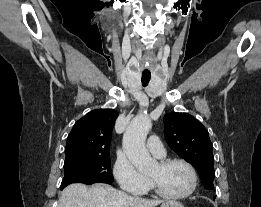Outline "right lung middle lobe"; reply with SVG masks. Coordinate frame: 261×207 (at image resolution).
<instances>
[{
    "instance_id": "1",
    "label": "right lung middle lobe",
    "mask_w": 261,
    "mask_h": 207,
    "mask_svg": "<svg viewBox=\"0 0 261 207\" xmlns=\"http://www.w3.org/2000/svg\"><path fill=\"white\" fill-rule=\"evenodd\" d=\"M64 171L65 176L61 183V189L71 183H112L114 180L110 167V156L66 161Z\"/></svg>"
}]
</instances>
